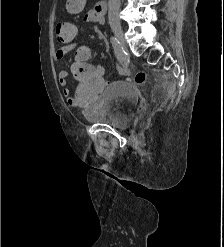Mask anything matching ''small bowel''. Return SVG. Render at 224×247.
<instances>
[{
    "label": "small bowel",
    "mask_w": 224,
    "mask_h": 247,
    "mask_svg": "<svg viewBox=\"0 0 224 247\" xmlns=\"http://www.w3.org/2000/svg\"><path fill=\"white\" fill-rule=\"evenodd\" d=\"M85 4V0H67L66 9L71 14H78L81 12ZM85 22H94L103 24L104 18L101 14L97 13L95 9L88 10L84 15ZM78 47L75 39L62 41L61 45L55 51V58L60 60L65 54ZM69 73L66 70H62L58 74V82L63 87V96L66 98L68 104L75 105L70 90L67 88Z\"/></svg>",
    "instance_id": "c3829d8e"
}]
</instances>
